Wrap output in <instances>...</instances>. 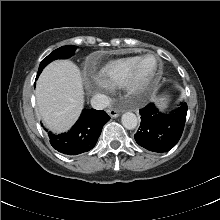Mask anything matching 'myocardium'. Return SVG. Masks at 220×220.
Returning <instances> with one entry per match:
<instances>
[{
	"instance_id": "1",
	"label": "myocardium",
	"mask_w": 220,
	"mask_h": 220,
	"mask_svg": "<svg viewBox=\"0 0 220 220\" xmlns=\"http://www.w3.org/2000/svg\"><path fill=\"white\" fill-rule=\"evenodd\" d=\"M149 57H152L155 60L156 68L152 74L146 76V75H143L141 72V65L143 61ZM159 71H160L159 58L152 53H147L141 56L137 60L136 64L134 65L129 75V78L125 86L133 92H140L144 90L154 80V78L158 75Z\"/></svg>"
}]
</instances>
